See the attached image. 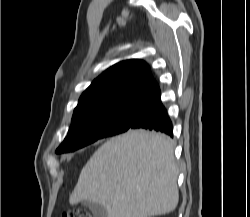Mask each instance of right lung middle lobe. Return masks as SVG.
Listing matches in <instances>:
<instances>
[{"label": "right lung middle lobe", "mask_w": 250, "mask_h": 217, "mask_svg": "<svg viewBox=\"0 0 250 217\" xmlns=\"http://www.w3.org/2000/svg\"><path fill=\"white\" fill-rule=\"evenodd\" d=\"M139 107V104L125 105L73 118L68 136L56 153L75 151L98 139L127 131L130 129Z\"/></svg>", "instance_id": "dd1d6c3e"}]
</instances>
